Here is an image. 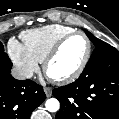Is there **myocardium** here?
Here are the masks:
<instances>
[{
  "instance_id": "1",
  "label": "myocardium",
  "mask_w": 119,
  "mask_h": 119,
  "mask_svg": "<svg viewBox=\"0 0 119 119\" xmlns=\"http://www.w3.org/2000/svg\"><path fill=\"white\" fill-rule=\"evenodd\" d=\"M76 35L82 36L87 43V50H86L83 60L81 61L79 66L69 75L64 76V77H59V78L51 77L48 74L49 64L57 56V54L59 53V51L62 48V46L64 45V43ZM91 54H92V42L89 39V37L82 31H72V32L64 35L63 37H61L54 44V46L50 49V51L47 53L46 57L43 60V70H44L45 74L50 78V80L53 81L54 83L68 84V83L75 81L83 73V71L85 70V68L90 60Z\"/></svg>"
}]
</instances>
